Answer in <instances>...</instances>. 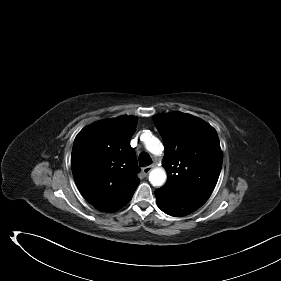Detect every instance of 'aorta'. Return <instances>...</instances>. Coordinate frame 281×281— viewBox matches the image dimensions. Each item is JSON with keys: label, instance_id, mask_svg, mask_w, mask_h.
Wrapping results in <instances>:
<instances>
[{"label": "aorta", "instance_id": "1", "mask_svg": "<svg viewBox=\"0 0 281 281\" xmlns=\"http://www.w3.org/2000/svg\"><path fill=\"white\" fill-rule=\"evenodd\" d=\"M144 144L146 149L154 155H160L163 151L160 140L151 134L144 138ZM166 179V171L162 167H156L149 173V181L153 186H162Z\"/></svg>", "mask_w": 281, "mask_h": 281}]
</instances>
